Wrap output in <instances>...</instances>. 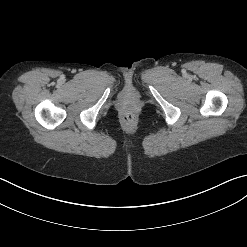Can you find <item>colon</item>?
Listing matches in <instances>:
<instances>
[{"label": "colon", "instance_id": "colon-1", "mask_svg": "<svg viewBox=\"0 0 247 247\" xmlns=\"http://www.w3.org/2000/svg\"><path fill=\"white\" fill-rule=\"evenodd\" d=\"M136 122V116L129 112V113H126L123 117V123L127 126H131L133 125L134 123Z\"/></svg>", "mask_w": 247, "mask_h": 247}]
</instances>
